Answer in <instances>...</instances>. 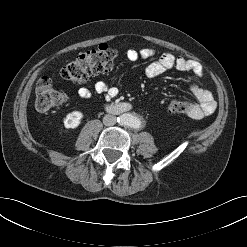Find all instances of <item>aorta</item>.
I'll return each mask as SVG.
<instances>
[{"label": "aorta", "mask_w": 247, "mask_h": 247, "mask_svg": "<svg viewBox=\"0 0 247 247\" xmlns=\"http://www.w3.org/2000/svg\"><path fill=\"white\" fill-rule=\"evenodd\" d=\"M118 122L121 125L132 127V128H139L141 125L140 119L132 114L124 113L118 117Z\"/></svg>", "instance_id": "obj_1"}]
</instances>
